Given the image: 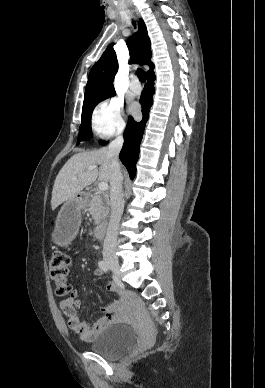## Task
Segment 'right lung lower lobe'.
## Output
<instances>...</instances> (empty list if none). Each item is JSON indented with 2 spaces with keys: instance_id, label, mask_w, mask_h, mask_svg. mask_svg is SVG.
Here are the masks:
<instances>
[{
  "instance_id": "1",
  "label": "right lung lower lobe",
  "mask_w": 265,
  "mask_h": 388,
  "mask_svg": "<svg viewBox=\"0 0 265 388\" xmlns=\"http://www.w3.org/2000/svg\"><path fill=\"white\" fill-rule=\"evenodd\" d=\"M154 72L147 74V84L145 85L140 103L142 106L143 118L136 122L132 117L129 118L127 127L124 131V144L120 152V160L126 166L129 176L134 179L136 175V163L139 155V146L144 133L145 124L149 117V110L153 104L154 89Z\"/></svg>"
}]
</instances>
